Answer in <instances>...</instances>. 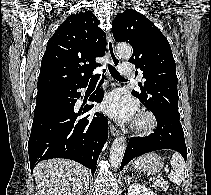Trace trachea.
<instances>
[{"label": "trachea", "mask_w": 211, "mask_h": 195, "mask_svg": "<svg viewBox=\"0 0 211 195\" xmlns=\"http://www.w3.org/2000/svg\"><path fill=\"white\" fill-rule=\"evenodd\" d=\"M108 68H109V72L113 78H115L117 80H125L124 77H122L119 74V72L112 65H109ZM99 78H100V74L97 73L92 76L91 80H98Z\"/></svg>", "instance_id": "obj_1"}]
</instances>
